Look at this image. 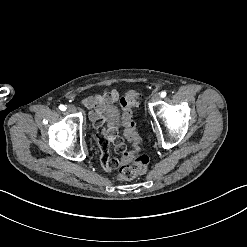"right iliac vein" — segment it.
I'll return each mask as SVG.
<instances>
[{"label": "right iliac vein", "instance_id": "1", "mask_svg": "<svg viewBox=\"0 0 247 247\" xmlns=\"http://www.w3.org/2000/svg\"><path fill=\"white\" fill-rule=\"evenodd\" d=\"M67 111H68L69 113H75V112H76V108H75V106H73V105H69V106L67 107Z\"/></svg>", "mask_w": 247, "mask_h": 247}]
</instances>
